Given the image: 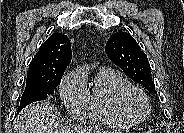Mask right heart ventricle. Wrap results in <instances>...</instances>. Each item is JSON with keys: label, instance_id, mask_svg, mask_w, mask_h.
Listing matches in <instances>:
<instances>
[{"label": "right heart ventricle", "instance_id": "e07e8e85", "mask_svg": "<svg viewBox=\"0 0 184 133\" xmlns=\"http://www.w3.org/2000/svg\"><path fill=\"white\" fill-rule=\"evenodd\" d=\"M130 85V82L124 76L113 69L103 68L97 71L91 91H89L86 116L92 122L100 125L115 127L129 126L131 123L126 121L116 111L115 96L121 88Z\"/></svg>", "mask_w": 184, "mask_h": 133}]
</instances>
